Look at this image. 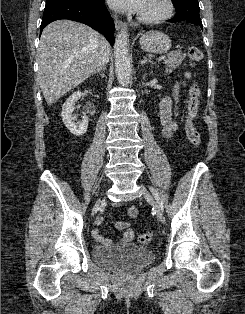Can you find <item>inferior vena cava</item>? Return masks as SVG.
Returning <instances> with one entry per match:
<instances>
[{"label":"inferior vena cava","instance_id":"obj_1","mask_svg":"<svg viewBox=\"0 0 245 314\" xmlns=\"http://www.w3.org/2000/svg\"><path fill=\"white\" fill-rule=\"evenodd\" d=\"M109 55H110V46L106 42V44L101 49L98 66L104 67L109 61Z\"/></svg>","mask_w":245,"mask_h":314}]
</instances>
